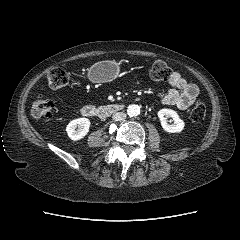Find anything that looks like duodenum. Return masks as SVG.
Masks as SVG:
<instances>
[{
    "label": "duodenum",
    "instance_id": "1",
    "mask_svg": "<svg viewBox=\"0 0 240 240\" xmlns=\"http://www.w3.org/2000/svg\"><path fill=\"white\" fill-rule=\"evenodd\" d=\"M123 109L122 104H107L103 106L85 105L81 109L83 116L88 118H106Z\"/></svg>",
    "mask_w": 240,
    "mask_h": 240
}]
</instances>
